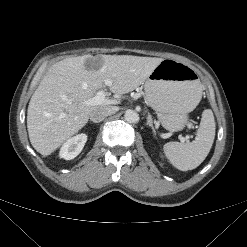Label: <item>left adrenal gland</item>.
Listing matches in <instances>:
<instances>
[{
	"instance_id": "left-adrenal-gland-1",
	"label": "left adrenal gland",
	"mask_w": 247,
	"mask_h": 247,
	"mask_svg": "<svg viewBox=\"0 0 247 247\" xmlns=\"http://www.w3.org/2000/svg\"><path fill=\"white\" fill-rule=\"evenodd\" d=\"M147 125L149 127H151L153 133L156 134V131L154 129L153 122H152V117H151V115L149 113H148V116H147Z\"/></svg>"
}]
</instances>
